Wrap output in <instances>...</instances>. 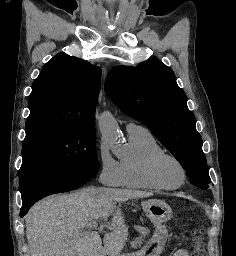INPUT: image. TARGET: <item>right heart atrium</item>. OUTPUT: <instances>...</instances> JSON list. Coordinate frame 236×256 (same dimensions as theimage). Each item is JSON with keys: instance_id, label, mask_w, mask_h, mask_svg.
Wrapping results in <instances>:
<instances>
[{"instance_id": "d8ad5b80", "label": "right heart atrium", "mask_w": 236, "mask_h": 256, "mask_svg": "<svg viewBox=\"0 0 236 256\" xmlns=\"http://www.w3.org/2000/svg\"><path fill=\"white\" fill-rule=\"evenodd\" d=\"M97 162L99 167V179L104 185L110 187L123 185L121 163L112 156L104 142H101L99 145Z\"/></svg>"}]
</instances>
